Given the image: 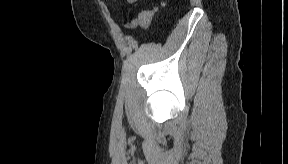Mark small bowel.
Segmentation results:
<instances>
[{
	"label": "small bowel",
	"mask_w": 288,
	"mask_h": 164,
	"mask_svg": "<svg viewBox=\"0 0 288 164\" xmlns=\"http://www.w3.org/2000/svg\"><path fill=\"white\" fill-rule=\"evenodd\" d=\"M156 11H157V9L155 8V9H152V10L143 11L139 15L147 14V15H149L151 17V20H152L153 15L155 14Z\"/></svg>",
	"instance_id": "c3829d8e"
}]
</instances>
